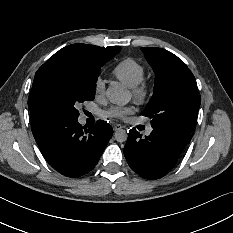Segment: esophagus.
Returning <instances> with one entry per match:
<instances>
[{
    "mask_svg": "<svg viewBox=\"0 0 233 233\" xmlns=\"http://www.w3.org/2000/svg\"><path fill=\"white\" fill-rule=\"evenodd\" d=\"M123 128V126L121 124H114L113 125V130L114 131H118L121 130Z\"/></svg>",
    "mask_w": 233,
    "mask_h": 233,
    "instance_id": "esophagus-1",
    "label": "esophagus"
}]
</instances>
